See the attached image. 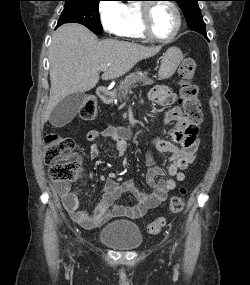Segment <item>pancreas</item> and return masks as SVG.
Instances as JSON below:
<instances>
[{
  "label": "pancreas",
  "mask_w": 250,
  "mask_h": 285,
  "mask_svg": "<svg viewBox=\"0 0 250 285\" xmlns=\"http://www.w3.org/2000/svg\"><path fill=\"white\" fill-rule=\"evenodd\" d=\"M140 83L143 86L152 85L154 80L148 77V72L136 71L130 73L125 77L123 81L117 87L116 98L119 101L125 99L126 95L131 91V88L136 84Z\"/></svg>",
  "instance_id": "1"
}]
</instances>
